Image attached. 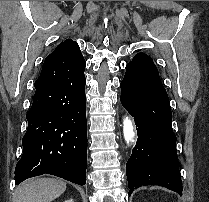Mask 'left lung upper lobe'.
<instances>
[{
  "label": "left lung upper lobe",
  "mask_w": 209,
  "mask_h": 202,
  "mask_svg": "<svg viewBox=\"0 0 209 202\" xmlns=\"http://www.w3.org/2000/svg\"><path fill=\"white\" fill-rule=\"evenodd\" d=\"M129 63L135 64L146 70L159 74L155 64L153 63L152 58L144 53H138Z\"/></svg>",
  "instance_id": "1"
}]
</instances>
